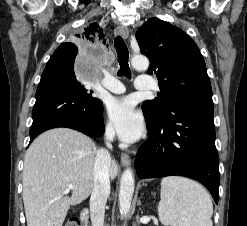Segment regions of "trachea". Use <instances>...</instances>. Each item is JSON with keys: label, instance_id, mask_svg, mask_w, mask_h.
<instances>
[{"label": "trachea", "instance_id": "trachea-1", "mask_svg": "<svg viewBox=\"0 0 247 226\" xmlns=\"http://www.w3.org/2000/svg\"><path fill=\"white\" fill-rule=\"evenodd\" d=\"M114 46L116 48L118 54V62L120 65V69L118 71V76H125L127 78H131V71L128 64L129 60V52L128 48L122 39V37L117 36L114 40Z\"/></svg>", "mask_w": 247, "mask_h": 226}]
</instances>
